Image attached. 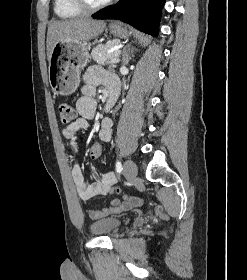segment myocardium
Instances as JSON below:
<instances>
[{"label":"myocardium","mask_w":247,"mask_h":280,"mask_svg":"<svg viewBox=\"0 0 247 280\" xmlns=\"http://www.w3.org/2000/svg\"><path fill=\"white\" fill-rule=\"evenodd\" d=\"M113 0H106L98 4H92L88 0H74L75 5L84 12H95L110 5Z\"/></svg>","instance_id":"f54148a6"}]
</instances>
